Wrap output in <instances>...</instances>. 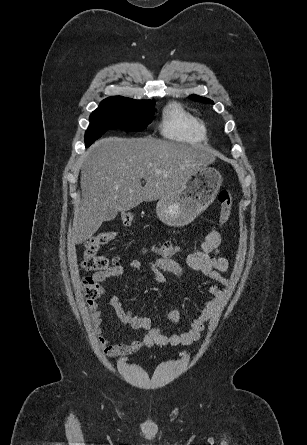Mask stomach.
I'll return each instance as SVG.
<instances>
[{
    "label": "stomach",
    "mask_w": 307,
    "mask_h": 445,
    "mask_svg": "<svg viewBox=\"0 0 307 445\" xmlns=\"http://www.w3.org/2000/svg\"><path fill=\"white\" fill-rule=\"evenodd\" d=\"M222 174L216 168L203 166L190 174L180 192L159 198L158 218L167 227H186L213 202L222 184Z\"/></svg>",
    "instance_id": "0dacf381"
}]
</instances>
